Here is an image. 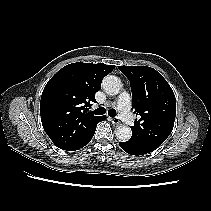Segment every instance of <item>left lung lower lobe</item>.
Masks as SVG:
<instances>
[{
    "mask_svg": "<svg viewBox=\"0 0 211 211\" xmlns=\"http://www.w3.org/2000/svg\"><path fill=\"white\" fill-rule=\"evenodd\" d=\"M119 145L125 152L132 155H143L157 149V147L151 145L150 143L134 139H130L126 142H120Z\"/></svg>",
    "mask_w": 211,
    "mask_h": 211,
    "instance_id": "1",
    "label": "left lung lower lobe"
}]
</instances>
